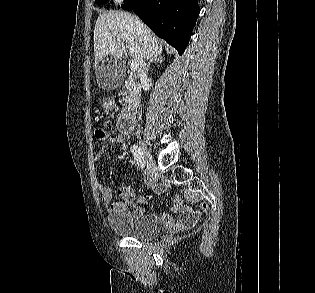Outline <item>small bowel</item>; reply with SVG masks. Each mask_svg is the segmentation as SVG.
I'll list each match as a JSON object with an SVG mask.
<instances>
[{
    "instance_id": "obj_1",
    "label": "small bowel",
    "mask_w": 315,
    "mask_h": 293,
    "mask_svg": "<svg viewBox=\"0 0 315 293\" xmlns=\"http://www.w3.org/2000/svg\"><path fill=\"white\" fill-rule=\"evenodd\" d=\"M128 138L126 133H119L116 136H112L108 139L104 148L96 155L95 161L99 162L106 153L107 148L112 144H122ZM96 187L102 196V202L108 211H123L131 210L137 213H142L143 209L140 204L147 202L146 198L140 197L137 202H134L135 197L130 187H121L125 190L120 192V196L123 201H113V190L111 187L104 185L100 180L96 181ZM153 190L157 194H161L166 190V187L161 183H153ZM174 215L177 217L175 218ZM198 219L197 214L182 201L180 195H175L172 200L170 213H164L161 215L160 220L167 226L176 228L179 230L193 226Z\"/></svg>"
}]
</instances>
